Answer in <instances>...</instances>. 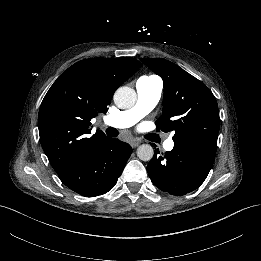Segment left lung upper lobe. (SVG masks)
I'll return each mask as SVG.
<instances>
[{
	"label": "left lung upper lobe",
	"instance_id": "obj_1",
	"mask_svg": "<svg viewBox=\"0 0 261 261\" xmlns=\"http://www.w3.org/2000/svg\"><path fill=\"white\" fill-rule=\"evenodd\" d=\"M141 61L164 82L163 115L156 121L157 130L174 131V142L198 139L217 145L220 119L212 92L166 59Z\"/></svg>",
	"mask_w": 261,
	"mask_h": 261
}]
</instances>
